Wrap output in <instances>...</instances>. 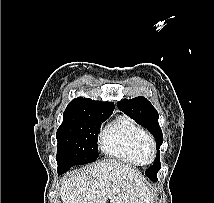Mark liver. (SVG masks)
<instances>
[{
  "mask_svg": "<svg viewBox=\"0 0 214 203\" xmlns=\"http://www.w3.org/2000/svg\"><path fill=\"white\" fill-rule=\"evenodd\" d=\"M60 196L63 203H154L151 185L142 174L115 160L67 175Z\"/></svg>",
  "mask_w": 214,
  "mask_h": 203,
  "instance_id": "1",
  "label": "liver"
}]
</instances>
